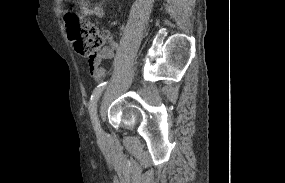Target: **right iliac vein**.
<instances>
[{
	"instance_id": "obj_1",
	"label": "right iliac vein",
	"mask_w": 285,
	"mask_h": 183,
	"mask_svg": "<svg viewBox=\"0 0 285 183\" xmlns=\"http://www.w3.org/2000/svg\"><path fill=\"white\" fill-rule=\"evenodd\" d=\"M99 134H100V136H102V131L101 130H100Z\"/></svg>"
}]
</instances>
